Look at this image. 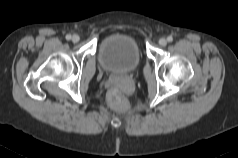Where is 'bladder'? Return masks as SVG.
I'll list each match as a JSON object with an SVG mask.
<instances>
[{
	"label": "bladder",
	"mask_w": 238,
	"mask_h": 158,
	"mask_svg": "<svg viewBox=\"0 0 238 158\" xmlns=\"http://www.w3.org/2000/svg\"><path fill=\"white\" fill-rule=\"evenodd\" d=\"M98 60L107 72H132L141 60L138 43L128 34H111L102 40L98 50Z\"/></svg>",
	"instance_id": "bladder-1"
}]
</instances>
